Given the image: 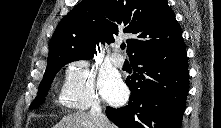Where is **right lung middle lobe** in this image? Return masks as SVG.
Listing matches in <instances>:
<instances>
[{
  "label": "right lung middle lobe",
  "mask_w": 221,
  "mask_h": 128,
  "mask_svg": "<svg viewBox=\"0 0 221 128\" xmlns=\"http://www.w3.org/2000/svg\"><path fill=\"white\" fill-rule=\"evenodd\" d=\"M76 60H82V59L80 58L65 59L63 61L47 65L43 80L41 81L40 86H39L38 95L30 106L31 109L39 107L44 102L45 97L47 95V91L50 88V85L55 75L57 74V72L67 63L76 61Z\"/></svg>",
  "instance_id": "dd1d6c3e"
}]
</instances>
